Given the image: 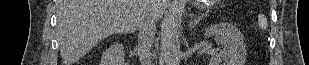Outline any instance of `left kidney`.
Here are the masks:
<instances>
[{
    "mask_svg": "<svg viewBox=\"0 0 309 65\" xmlns=\"http://www.w3.org/2000/svg\"><path fill=\"white\" fill-rule=\"evenodd\" d=\"M205 36H214L215 42L223 46V49L210 59V65H245L247 51L244 36L235 25H211L205 29Z\"/></svg>",
    "mask_w": 309,
    "mask_h": 65,
    "instance_id": "1",
    "label": "left kidney"
}]
</instances>
